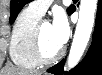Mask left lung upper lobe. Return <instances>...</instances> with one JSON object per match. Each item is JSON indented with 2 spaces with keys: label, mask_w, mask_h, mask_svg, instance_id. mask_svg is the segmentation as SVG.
Instances as JSON below:
<instances>
[{
  "label": "left lung upper lobe",
  "mask_w": 102,
  "mask_h": 75,
  "mask_svg": "<svg viewBox=\"0 0 102 75\" xmlns=\"http://www.w3.org/2000/svg\"><path fill=\"white\" fill-rule=\"evenodd\" d=\"M30 1L31 0H11V5H10V11H11L10 24H12L15 21L18 13ZM71 9H72V6H70L67 9V12H68L69 15H70Z\"/></svg>",
  "instance_id": "5c2ea615"
}]
</instances>
